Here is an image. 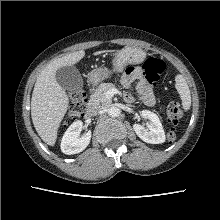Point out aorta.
<instances>
[{
	"label": "aorta",
	"instance_id": "762f6f07",
	"mask_svg": "<svg viewBox=\"0 0 220 220\" xmlns=\"http://www.w3.org/2000/svg\"><path fill=\"white\" fill-rule=\"evenodd\" d=\"M121 113V110L118 107L112 106L108 109V115L110 117H118Z\"/></svg>",
	"mask_w": 220,
	"mask_h": 220
}]
</instances>
